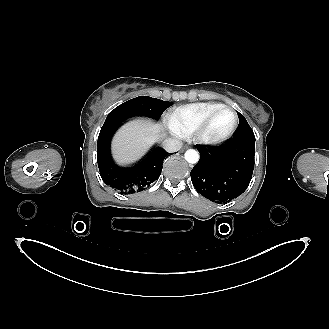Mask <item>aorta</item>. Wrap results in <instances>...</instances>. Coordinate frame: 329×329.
Returning a JSON list of instances; mask_svg holds the SVG:
<instances>
[{
  "label": "aorta",
  "mask_w": 329,
  "mask_h": 329,
  "mask_svg": "<svg viewBox=\"0 0 329 329\" xmlns=\"http://www.w3.org/2000/svg\"><path fill=\"white\" fill-rule=\"evenodd\" d=\"M188 163L195 164L199 161V153L194 149H188L184 154Z\"/></svg>",
  "instance_id": "762f6f07"
}]
</instances>
